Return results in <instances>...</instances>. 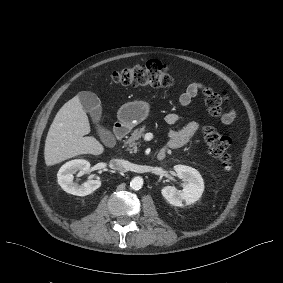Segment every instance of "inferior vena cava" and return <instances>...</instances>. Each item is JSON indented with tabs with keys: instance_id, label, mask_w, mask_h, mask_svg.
Instances as JSON below:
<instances>
[{
	"instance_id": "obj_1",
	"label": "inferior vena cava",
	"mask_w": 283,
	"mask_h": 283,
	"mask_svg": "<svg viewBox=\"0 0 283 283\" xmlns=\"http://www.w3.org/2000/svg\"><path fill=\"white\" fill-rule=\"evenodd\" d=\"M114 168L116 170H119V171H124V166H123V162L121 160H115L114 161Z\"/></svg>"
}]
</instances>
